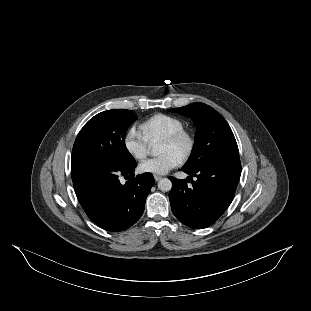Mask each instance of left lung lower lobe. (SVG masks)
<instances>
[{
    "label": "left lung lower lobe",
    "mask_w": 311,
    "mask_h": 311,
    "mask_svg": "<svg viewBox=\"0 0 311 311\" xmlns=\"http://www.w3.org/2000/svg\"><path fill=\"white\" fill-rule=\"evenodd\" d=\"M196 177L191 185L185 179L169 177L171 209L176 218L190 228L212 225L231 204L241 175L240 159H225L195 170L184 169Z\"/></svg>",
    "instance_id": "left-lung-lower-lobe-1"
}]
</instances>
